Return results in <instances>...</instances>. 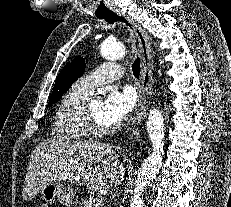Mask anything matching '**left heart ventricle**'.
<instances>
[{
	"label": "left heart ventricle",
	"mask_w": 231,
	"mask_h": 207,
	"mask_svg": "<svg viewBox=\"0 0 231 207\" xmlns=\"http://www.w3.org/2000/svg\"><path fill=\"white\" fill-rule=\"evenodd\" d=\"M103 103L100 101H93L90 104V111L94 119L102 126H109L102 118Z\"/></svg>",
	"instance_id": "b2bd125f"
}]
</instances>
